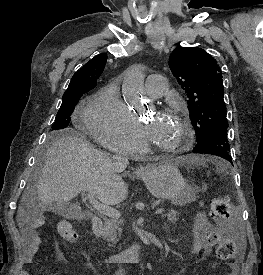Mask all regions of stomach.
Returning a JSON list of instances; mask_svg holds the SVG:
<instances>
[{
    "mask_svg": "<svg viewBox=\"0 0 263 275\" xmlns=\"http://www.w3.org/2000/svg\"><path fill=\"white\" fill-rule=\"evenodd\" d=\"M142 178L149 191L157 198L169 199L176 205H185L196 198L197 190L188 186L176 163L147 167Z\"/></svg>",
    "mask_w": 263,
    "mask_h": 275,
    "instance_id": "0dacf381",
    "label": "stomach"
}]
</instances>
